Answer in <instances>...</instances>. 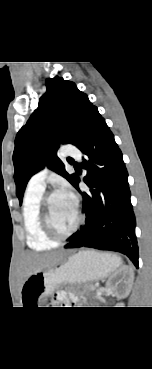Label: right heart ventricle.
Returning a JSON list of instances; mask_svg holds the SVG:
<instances>
[{
    "instance_id": "obj_1",
    "label": "right heart ventricle",
    "mask_w": 152,
    "mask_h": 369,
    "mask_svg": "<svg viewBox=\"0 0 152 369\" xmlns=\"http://www.w3.org/2000/svg\"><path fill=\"white\" fill-rule=\"evenodd\" d=\"M43 194L44 190L27 187L23 198L22 216L27 244L34 250H47L57 246V242L46 235L41 225L40 202Z\"/></svg>"
}]
</instances>
